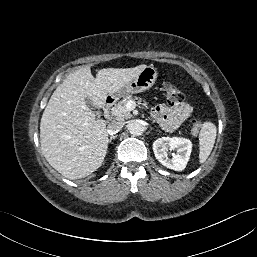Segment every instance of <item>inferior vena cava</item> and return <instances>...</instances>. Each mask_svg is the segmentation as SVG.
Listing matches in <instances>:
<instances>
[{
  "mask_svg": "<svg viewBox=\"0 0 257 257\" xmlns=\"http://www.w3.org/2000/svg\"><path fill=\"white\" fill-rule=\"evenodd\" d=\"M122 127H123L122 122L114 121L108 125L107 133L109 135H114L118 133L122 129Z\"/></svg>",
  "mask_w": 257,
  "mask_h": 257,
  "instance_id": "1",
  "label": "inferior vena cava"
}]
</instances>
